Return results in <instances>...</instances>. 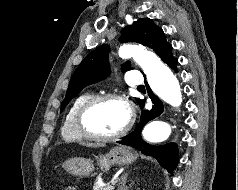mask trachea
I'll use <instances>...</instances> for the list:
<instances>
[{"label": "trachea", "instance_id": "obj_1", "mask_svg": "<svg viewBox=\"0 0 238 190\" xmlns=\"http://www.w3.org/2000/svg\"><path fill=\"white\" fill-rule=\"evenodd\" d=\"M138 88H144V85H140V86H138Z\"/></svg>", "mask_w": 238, "mask_h": 190}]
</instances>
